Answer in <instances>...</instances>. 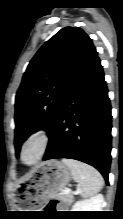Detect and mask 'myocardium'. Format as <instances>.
<instances>
[{
    "mask_svg": "<svg viewBox=\"0 0 123 219\" xmlns=\"http://www.w3.org/2000/svg\"><path fill=\"white\" fill-rule=\"evenodd\" d=\"M48 143H49V133L46 129L37 128L34 131H32L26 137V139L23 141V143L21 145V149H20L21 162L26 164V165H34L37 162H39L46 152V149L48 147ZM31 144H34L37 146L38 153H37L36 158L33 161L26 162L24 160V152H25L26 148Z\"/></svg>",
    "mask_w": 123,
    "mask_h": 219,
    "instance_id": "obj_1",
    "label": "myocardium"
}]
</instances>
